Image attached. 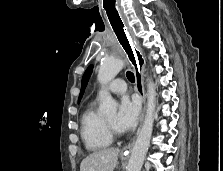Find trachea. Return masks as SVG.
Masks as SVG:
<instances>
[{"instance_id": "1", "label": "trachea", "mask_w": 223, "mask_h": 171, "mask_svg": "<svg viewBox=\"0 0 223 171\" xmlns=\"http://www.w3.org/2000/svg\"><path fill=\"white\" fill-rule=\"evenodd\" d=\"M126 76H127L128 80H129L130 82L133 83V82L135 81V77H134V74H133L132 72L127 71Z\"/></svg>"}]
</instances>
